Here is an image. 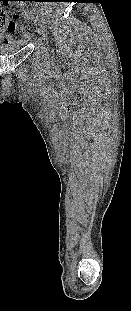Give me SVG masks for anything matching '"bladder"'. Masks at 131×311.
Here are the masks:
<instances>
[{
    "mask_svg": "<svg viewBox=\"0 0 131 311\" xmlns=\"http://www.w3.org/2000/svg\"><path fill=\"white\" fill-rule=\"evenodd\" d=\"M26 43L24 41L13 40L6 43H0V54H8L22 49Z\"/></svg>",
    "mask_w": 131,
    "mask_h": 311,
    "instance_id": "bladder-1",
    "label": "bladder"
}]
</instances>
